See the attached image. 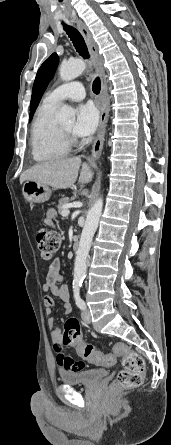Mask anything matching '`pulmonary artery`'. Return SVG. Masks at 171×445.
<instances>
[{
	"label": "pulmonary artery",
	"mask_w": 171,
	"mask_h": 445,
	"mask_svg": "<svg viewBox=\"0 0 171 445\" xmlns=\"http://www.w3.org/2000/svg\"><path fill=\"white\" fill-rule=\"evenodd\" d=\"M84 98L85 90L83 85L79 82H69L49 91L44 102L58 105L65 100L80 101Z\"/></svg>",
	"instance_id": "obj_1"
}]
</instances>
